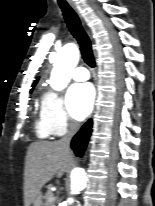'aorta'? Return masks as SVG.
I'll use <instances>...</instances> for the list:
<instances>
[{
  "instance_id": "aorta-1",
  "label": "aorta",
  "mask_w": 155,
  "mask_h": 206,
  "mask_svg": "<svg viewBox=\"0 0 155 206\" xmlns=\"http://www.w3.org/2000/svg\"><path fill=\"white\" fill-rule=\"evenodd\" d=\"M79 60V50L74 43L66 44L58 52V58L51 72L49 84L54 90H62L69 83L74 68ZM86 186V173L82 168H75L71 174V194H78ZM72 197L67 198L61 206H71Z\"/></svg>"
}]
</instances>
